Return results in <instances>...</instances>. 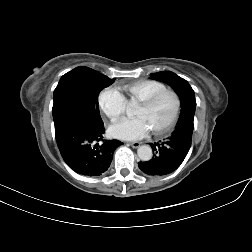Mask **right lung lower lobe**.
Wrapping results in <instances>:
<instances>
[{
  "instance_id": "98d812e1",
  "label": "right lung lower lobe",
  "mask_w": 252,
  "mask_h": 252,
  "mask_svg": "<svg viewBox=\"0 0 252 252\" xmlns=\"http://www.w3.org/2000/svg\"><path fill=\"white\" fill-rule=\"evenodd\" d=\"M55 124V137L67 165L85 176H100L110 166L114 150L123 143L103 141V124L96 125L75 117Z\"/></svg>"
}]
</instances>
